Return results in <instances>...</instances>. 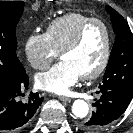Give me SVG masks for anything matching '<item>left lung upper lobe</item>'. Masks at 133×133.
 Returning <instances> with one entry per match:
<instances>
[{
    "instance_id": "5c2ea615",
    "label": "left lung upper lobe",
    "mask_w": 133,
    "mask_h": 133,
    "mask_svg": "<svg viewBox=\"0 0 133 133\" xmlns=\"http://www.w3.org/2000/svg\"><path fill=\"white\" fill-rule=\"evenodd\" d=\"M106 11L110 15L116 39L99 88L133 97V34L117 11L109 6H106Z\"/></svg>"
}]
</instances>
